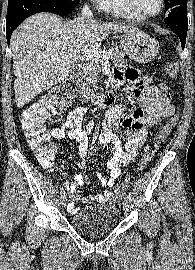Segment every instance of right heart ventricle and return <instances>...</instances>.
<instances>
[{"instance_id": "obj_1", "label": "right heart ventricle", "mask_w": 195, "mask_h": 270, "mask_svg": "<svg viewBox=\"0 0 195 270\" xmlns=\"http://www.w3.org/2000/svg\"><path fill=\"white\" fill-rule=\"evenodd\" d=\"M99 5L103 11L116 17L127 20H141L127 8L124 0H101Z\"/></svg>"}]
</instances>
